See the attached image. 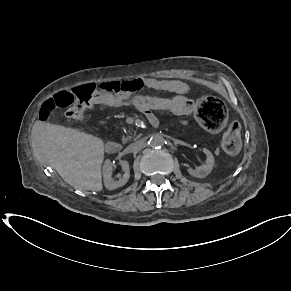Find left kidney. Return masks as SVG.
<instances>
[{
  "mask_svg": "<svg viewBox=\"0 0 291 291\" xmlns=\"http://www.w3.org/2000/svg\"><path fill=\"white\" fill-rule=\"evenodd\" d=\"M203 152L206 154V161L201 166L196 169H188V173L197 178H204L209 175L214 166V157L213 154L206 148L203 149Z\"/></svg>",
  "mask_w": 291,
  "mask_h": 291,
  "instance_id": "5707ae66",
  "label": "left kidney"
}]
</instances>
